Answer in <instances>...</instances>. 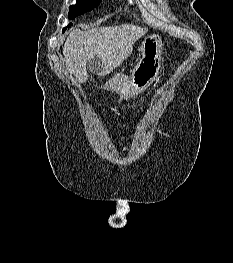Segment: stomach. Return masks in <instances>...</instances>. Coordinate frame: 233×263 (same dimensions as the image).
<instances>
[{"mask_svg": "<svg viewBox=\"0 0 233 263\" xmlns=\"http://www.w3.org/2000/svg\"><path fill=\"white\" fill-rule=\"evenodd\" d=\"M141 59L135 66L132 77H108L104 88L108 91H141L157 78L160 70L163 43L158 35L144 38L141 44Z\"/></svg>", "mask_w": 233, "mask_h": 263, "instance_id": "obj_1", "label": "stomach"}]
</instances>
